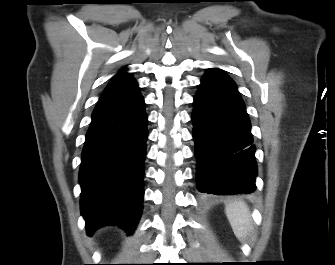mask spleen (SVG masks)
Instances as JSON below:
<instances>
[{
    "instance_id": "obj_1",
    "label": "spleen",
    "mask_w": 335,
    "mask_h": 265,
    "mask_svg": "<svg viewBox=\"0 0 335 265\" xmlns=\"http://www.w3.org/2000/svg\"><path fill=\"white\" fill-rule=\"evenodd\" d=\"M225 213L235 236L244 240L252 228L249 208L242 201H234L226 205Z\"/></svg>"
}]
</instances>
